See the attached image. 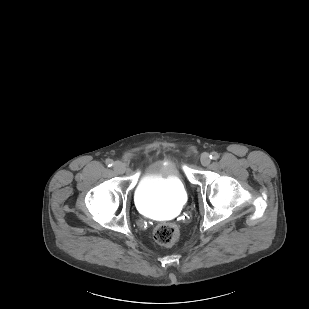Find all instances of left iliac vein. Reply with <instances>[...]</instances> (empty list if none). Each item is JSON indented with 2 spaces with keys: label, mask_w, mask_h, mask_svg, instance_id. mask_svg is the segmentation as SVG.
<instances>
[{
  "label": "left iliac vein",
  "mask_w": 309,
  "mask_h": 309,
  "mask_svg": "<svg viewBox=\"0 0 309 309\" xmlns=\"http://www.w3.org/2000/svg\"><path fill=\"white\" fill-rule=\"evenodd\" d=\"M200 162L203 166H208L211 162L210 156L207 153H203L200 158Z\"/></svg>",
  "instance_id": "left-iliac-vein-1"
}]
</instances>
